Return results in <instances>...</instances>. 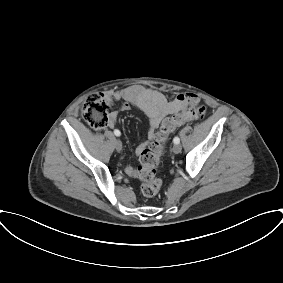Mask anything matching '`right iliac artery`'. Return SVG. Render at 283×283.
<instances>
[{
  "label": "right iliac artery",
  "instance_id": "right-iliac-artery-1",
  "mask_svg": "<svg viewBox=\"0 0 283 283\" xmlns=\"http://www.w3.org/2000/svg\"><path fill=\"white\" fill-rule=\"evenodd\" d=\"M114 134H115L116 136H120V135H121V132L116 129V130H114Z\"/></svg>",
  "mask_w": 283,
  "mask_h": 283
}]
</instances>
